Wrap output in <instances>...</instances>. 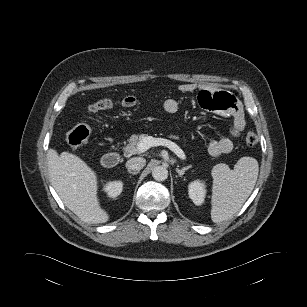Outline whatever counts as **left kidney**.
I'll list each match as a JSON object with an SVG mask.
<instances>
[{
    "label": "left kidney",
    "mask_w": 307,
    "mask_h": 307,
    "mask_svg": "<svg viewBox=\"0 0 307 307\" xmlns=\"http://www.w3.org/2000/svg\"><path fill=\"white\" fill-rule=\"evenodd\" d=\"M188 192L194 204L201 205L206 193L205 184L200 180L193 181L189 184Z\"/></svg>",
    "instance_id": "obj_1"
}]
</instances>
